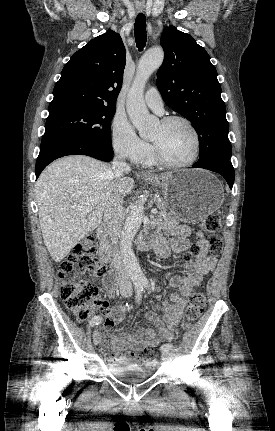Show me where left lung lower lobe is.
Instances as JSON below:
<instances>
[{"instance_id": "0a47b994", "label": "left lung lower lobe", "mask_w": 275, "mask_h": 431, "mask_svg": "<svg viewBox=\"0 0 275 431\" xmlns=\"http://www.w3.org/2000/svg\"><path fill=\"white\" fill-rule=\"evenodd\" d=\"M193 168H204L221 174L232 189L234 183V168L230 160L228 161H211L208 163H196Z\"/></svg>"}]
</instances>
